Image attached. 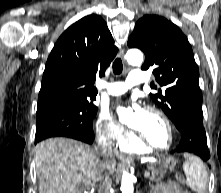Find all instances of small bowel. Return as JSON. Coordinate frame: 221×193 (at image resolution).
Listing matches in <instances>:
<instances>
[{"mask_svg": "<svg viewBox=\"0 0 221 193\" xmlns=\"http://www.w3.org/2000/svg\"><path fill=\"white\" fill-rule=\"evenodd\" d=\"M151 193H188L187 191H183L179 185L175 183H168L157 186L152 190Z\"/></svg>", "mask_w": 221, "mask_h": 193, "instance_id": "1", "label": "small bowel"}]
</instances>
